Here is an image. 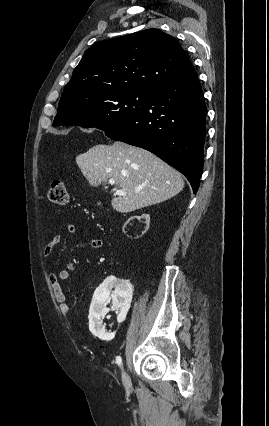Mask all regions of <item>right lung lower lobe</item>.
I'll return each instance as SVG.
<instances>
[{"label":"right lung lower lobe","instance_id":"obj_1","mask_svg":"<svg viewBox=\"0 0 269 426\" xmlns=\"http://www.w3.org/2000/svg\"><path fill=\"white\" fill-rule=\"evenodd\" d=\"M206 114L193 70L151 90L138 114L105 135L156 154L184 174L196 193L203 169Z\"/></svg>","mask_w":269,"mask_h":426}]
</instances>
